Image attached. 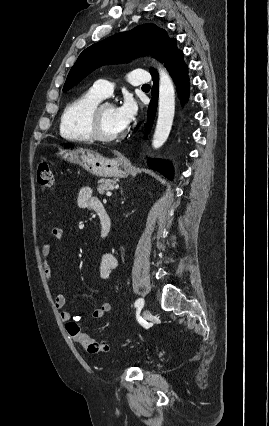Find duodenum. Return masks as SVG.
I'll return each mask as SVG.
<instances>
[{"label":"duodenum","mask_w":269,"mask_h":426,"mask_svg":"<svg viewBox=\"0 0 269 426\" xmlns=\"http://www.w3.org/2000/svg\"><path fill=\"white\" fill-rule=\"evenodd\" d=\"M96 214L100 221V235L101 237L105 238L109 236V234L112 231V228H113L112 218L103 206L96 209Z\"/></svg>","instance_id":"1"}]
</instances>
